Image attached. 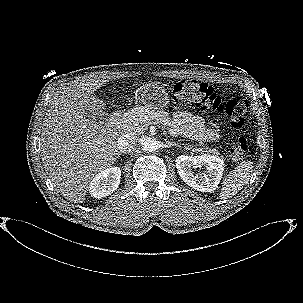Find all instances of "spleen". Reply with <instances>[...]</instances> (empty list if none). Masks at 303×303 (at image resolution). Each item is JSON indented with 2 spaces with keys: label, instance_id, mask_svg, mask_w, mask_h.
<instances>
[{
  "label": "spleen",
  "instance_id": "1",
  "mask_svg": "<svg viewBox=\"0 0 303 303\" xmlns=\"http://www.w3.org/2000/svg\"><path fill=\"white\" fill-rule=\"evenodd\" d=\"M253 163L244 161L231 171L223 182L220 199H227L237 194L250 179Z\"/></svg>",
  "mask_w": 303,
  "mask_h": 303
}]
</instances>
